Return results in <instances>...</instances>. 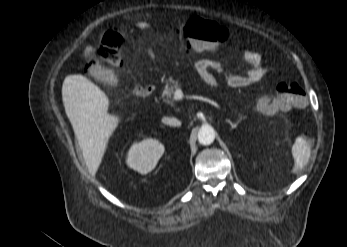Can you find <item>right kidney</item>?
<instances>
[{"mask_svg": "<svg viewBox=\"0 0 347 247\" xmlns=\"http://www.w3.org/2000/svg\"><path fill=\"white\" fill-rule=\"evenodd\" d=\"M164 146L156 139H145L134 143L127 155V164L133 170L147 174L157 165L164 153Z\"/></svg>", "mask_w": 347, "mask_h": 247, "instance_id": "obj_1", "label": "right kidney"}]
</instances>
